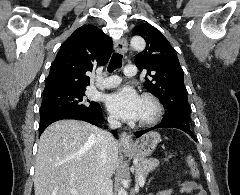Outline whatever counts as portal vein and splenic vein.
Returning <instances> with one entry per match:
<instances>
[{
	"label": "portal vein and splenic vein",
	"mask_w": 240,
	"mask_h": 195,
	"mask_svg": "<svg viewBox=\"0 0 240 195\" xmlns=\"http://www.w3.org/2000/svg\"><path fill=\"white\" fill-rule=\"evenodd\" d=\"M137 182H139L138 183L139 187L143 188L145 186L143 175H140V177H137ZM70 191H71V193H76V189H70Z\"/></svg>",
	"instance_id": "18ae733b"
}]
</instances>
